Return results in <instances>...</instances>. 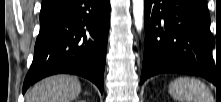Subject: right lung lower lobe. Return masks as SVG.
<instances>
[{"label":"right lung lower lobe","instance_id":"98d812e1","mask_svg":"<svg viewBox=\"0 0 221 102\" xmlns=\"http://www.w3.org/2000/svg\"><path fill=\"white\" fill-rule=\"evenodd\" d=\"M110 10L109 0H64L41 13L23 94L30 85L59 73L85 77L103 93Z\"/></svg>","mask_w":221,"mask_h":102}]
</instances>
